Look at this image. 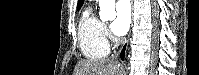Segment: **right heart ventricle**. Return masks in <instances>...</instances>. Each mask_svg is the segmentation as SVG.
Returning <instances> with one entry per match:
<instances>
[{
	"mask_svg": "<svg viewBox=\"0 0 199 75\" xmlns=\"http://www.w3.org/2000/svg\"><path fill=\"white\" fill-rule=\"evenodd\" d=\"M79 46L88 59H103L109 53V46L103 34V24L87 10L78 27Z\"/></svg>",
	"mask_w": 199,
	"mask_h": 75,
	"instance_id": "obj_1",
	"label": "right heart ventricle"
}]
</instances>
